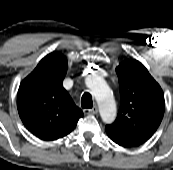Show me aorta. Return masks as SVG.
<instances>
[{"mask_svg":"<svg viewBox=\"0 0 173 170\" xmlns=\"http://www.w3.org/2000/svg\"><path fill=\"white\" fill-rule=\"evenodd\" d=\"M91 92L95 97L102 120L112 123L116 118V103L109 87L100 79L94 78L89 84Z\"/></svg>","mask_w":173,"mask_h":170,"instance_id":"obj_1","label":"aorta"}]
</instances>
